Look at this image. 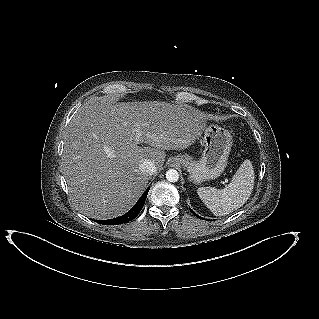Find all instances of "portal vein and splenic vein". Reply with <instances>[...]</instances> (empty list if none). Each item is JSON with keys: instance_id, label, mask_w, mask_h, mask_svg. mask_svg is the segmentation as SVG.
Wrapping results in <instances>:
<instances>
[{"instance_id": "portal-vein-and-splenic-vein-1", "label": "portal vein and splenic vein", "mask_w": 319, "mask_h": 319, "mask_svg": "<svg viewBox=\"0 0 319 319\" xmlns=\"http://www.w3.org/2000/svg\"><path fill=\"white\" fill-rule=\"evenodd\" d=\"M140 137H141V132L138 128H136L135 129V143L136 144H139Z\"/></svg>"}]
</instances>
